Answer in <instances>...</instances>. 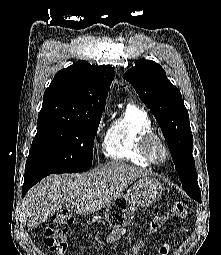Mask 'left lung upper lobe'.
Masks as SVG:
<instances>
[{
    "label": "left lung upper lobe",
    "instance_id": "5c2ea615",
    "mask_svg": "<svg viewBox=\"0 0 221 255\" xmlns=\"http://www.w3.org/2000/svg\"><path fill=\"white\" fill-rule=\"evenodd\" d=\"M123 77L131 83L155 116L169 146L183 189L191 198L199 201L201 192L192 155V132L188 111L178 88L167 79L163 68L150 60L132 67Z\"/></svg>",
    "mask_w": 221,
    "mask_h": 255
}]
</instances>
